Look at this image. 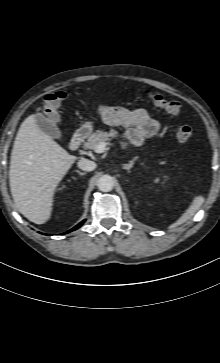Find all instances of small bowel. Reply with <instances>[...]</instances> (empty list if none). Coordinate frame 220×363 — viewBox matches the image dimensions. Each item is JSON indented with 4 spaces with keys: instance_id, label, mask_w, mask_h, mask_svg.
<instances>
[{
    "instance_id": "c3829d8e",
    "label": "small bowel",
    "mask_w": 220,
    "mask_h": 363,
    "mask_svg": "<svg viewBox=\"0 0 220 363\" xmlns=\"http://www.w3.org/2000/svg\"><path fill=\"white\" fill-rule=\"evenodd\" d=\"M98 113L104 123L124 126L126 128L124 138L133 145H141L145 139L157 135L161 128L160 123L142 108L113 109L100 106Z\"/></svg>"
}]
</instances>
